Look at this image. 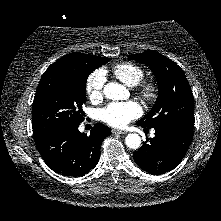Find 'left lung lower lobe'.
I'll use <instances>...</instances> for the list:
<instances>
[{
    "label": "left lung lower lobe",
    "instance_id": "left-lung-lower-lobe-1",
    "mask_svg": "<svg viewBox=\"0 0 221 221\" xmlns=\"http://www.w3.org/2000/svg\"><path fill=\"white\" fill-rule=\"evenodd\" d=\"M154 130L155 137L147 139L133 153V158L144 171L157 175L173 170L182 161L191 144L192 133L173 127H156Z\"/></svg>",
    "mask_w": 221,
    "mask_h": 221
}]
</instances>
